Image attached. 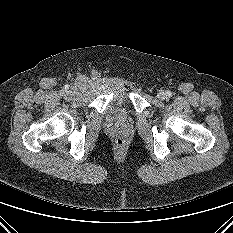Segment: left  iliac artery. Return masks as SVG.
<instances>
[{"label":"left iliac artery","mask_w":233,"mask_h":233,"mask_svg":"<svg viewBox=\"0 0 233 233\" xmlns=\"http://www.w3.org/2000/svg\"><path fill=\"white\" fill-rule=\"evenodd\" d=\"M166 96H167L168 98H170V97L172 96L171 91H167V92H166Z\"/></svg>","instance_id":"obj_1"}]
</instances>
